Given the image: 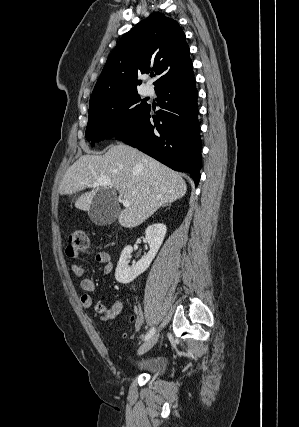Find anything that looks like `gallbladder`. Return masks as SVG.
Listing matches in <instances>:
<instances>
[{
	"instance_id": "1",
	"label": "gallbladder",
	"mask_w": 299,
	"mask_h": 427,
	"mask_svg": "<svg viewBox=\"0 0 299 427\" xmlns=\"http://www.w3.org/2000/svg\"><path fill=\"white\" fill-rule=\"evenodd\" d=\"M119 207L113 192L101 189L94 196L88 211L90 220L98 225H110L117 219Z\"/></svg>"
}]
</instances>
